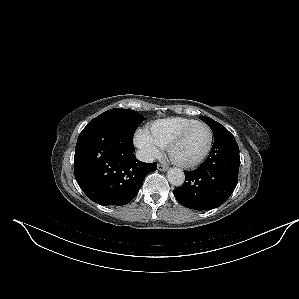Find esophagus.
<instances>
[{"instance_id": "34e87169", "label": "esophagus", "mask_w": 299, "mask_h": 299, "mask_svg": "<svg viewBox=\"0 0 299 299\" xmlns=\"http://www.w3.org/2000/svg\"><path fill=\"white\" fill-rule=\"evenodd\" d=\"M167 167L166 166H164V165H162V164H158V170H160V171H167Z\"/></svg>"}]
</instances>
